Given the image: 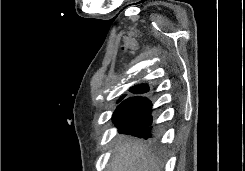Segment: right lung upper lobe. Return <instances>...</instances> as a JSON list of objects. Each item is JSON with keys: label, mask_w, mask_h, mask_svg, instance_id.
<instances>
[{"label": "right lung upper lobe", "mask_w": 245, "mask_h": 171, "mask_svg": "<svg viewBox=\"0 0 245 171\" xmlns=\"http://www.w3.org/2000/svg\"><path fill=\"white\" fill-rule=\"evenodd\" d=\"M149 91V87L148 85H139V86H134V87H131L130 88V92L134 93V94H144V93H147ZM125 96H122L118 102H120ZM133 98H136V97H132V98H128L126 100H124L123 102H126V101H129ZM122 102V103H123Z\"/></svg>", "instance_id": "obj_1"}]
</instances>
